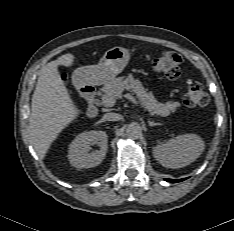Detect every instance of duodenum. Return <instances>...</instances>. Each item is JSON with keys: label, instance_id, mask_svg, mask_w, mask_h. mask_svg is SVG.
Segmentation results:
<instances>
[{"label": "duodenum", "instance_id": "1", "mask_svg": "<svg viewBox=\"0 0 234 231\" xmlns=\"http://www.w3.org/2000/svg\"><path fill=\"white\" fill-rule=\"evenodd\" d=\"M77 88L79 92L82 94V96L87 100L89 103V107L87 110V114L90 118H94L98 114V109L96 107V89L93 85L82 81L77 80Z\"/></svg>", "mask_w": 234, "mask_h": 231}]
</instances>
